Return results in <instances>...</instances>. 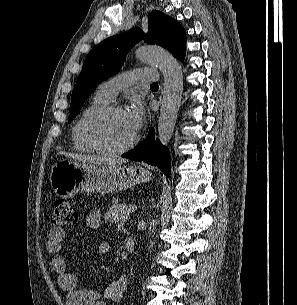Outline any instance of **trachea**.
<instances>
[{
	"label": "trachea",
	"mask_w": 297,
	"mask_h": 305,
	"mask_svg": "<svg viewBox=\"0 0 297 305\" xmlns=\"http://www.w3.org/2000/svg\"><path fill=\"white\" fill-rule=\"evenodd\" d=\"M150 87H159L157 83H152Z\"/></svg>",
	"instance_id": "obj_1"
}]
</instances>
